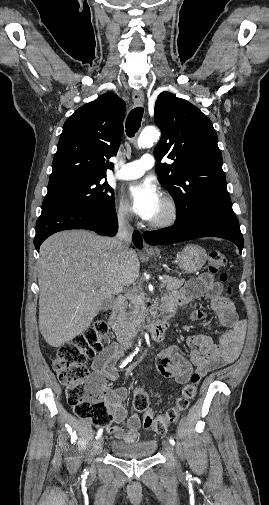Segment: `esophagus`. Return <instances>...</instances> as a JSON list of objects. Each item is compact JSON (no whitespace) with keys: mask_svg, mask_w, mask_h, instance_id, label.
I'll return each mask as SVG.
<instances>
[{"mask_svg":"<svg viewBox=\"0 0 269 505\" xmlns=\"http://www.w3.org/2000/svg\"><path fill=\"white\" fill-rule=\"evenodd\" d=\"M133 102L136 106H142L145 101L144 93L141 90H135L132 95ZM144 251L150 252L153 251V248L148 244L144 243Z\"/></svg>","mask_w":269,"mask_h":505,"instance_id":"esophagus-1","label":"esophagus"}]
</instances>
